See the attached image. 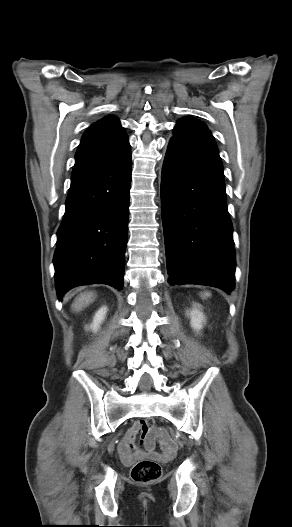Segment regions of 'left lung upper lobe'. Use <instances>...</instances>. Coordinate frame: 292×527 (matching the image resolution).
<instances>
[{"label":"left lung upper lobe","mask_w":292,"mask_h":527,"mask_svg":"<svg viewBox=\"0 0 292 527\" xmlns=\"http://www.w3.org/2000/svg\"><path fill=\"white\" fill-rule=\"evenodd\" d=\"M173 131L174 136L170 142H179L193 148L218 154L213 136L204 123L191 118L181 119L177 122Z\"/></svg>","instance_id":"left-lung-upper-lobe-1"}]
</instances>
